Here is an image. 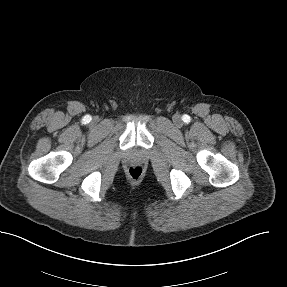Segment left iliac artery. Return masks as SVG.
Wrapping results in <instances>:
<instances>
[{"label":"left iliac artery","mask_w":287,"mask_h":287,"mask_svg":"<svg viewBox=\"0 0 287 287\" xmlns=\"http://www.w3.org/2000/svg\"><path fill=\"white\" fill-rule=\"evenodd\" d=\"M182 120H183L185 123H188V122H190V117H189L188 115H183Z\"/></svg>","instance_id":"44dca946"}]
</instances>
